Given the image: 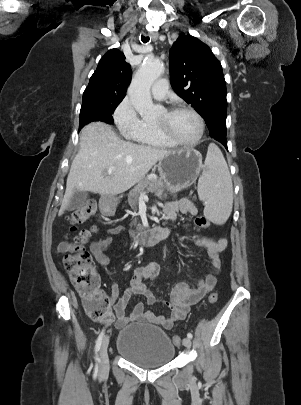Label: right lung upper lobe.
Here are the masks:
<instances>
[{
    "instance_id": "obj_1",
    "label": "right lung upper lobe",
    "mask_w": 301,
    "mask_h": 405,
    "mask_svg": "<svg viewBox=\"0 0 301 405\" xmlns=\"http://www.w3.org/2000/svg\"><path fill=\"white\" fill-rule=\"evenodd\" d=\"M130 64L118 49L109 50L100 60L83 93V99L103 97L122 99L126 95L131 78Z\"/></svg>"
}]
</instances>
